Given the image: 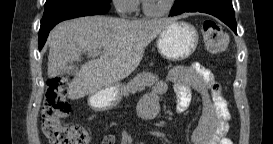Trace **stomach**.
<instances>
[{"mask_svg":"<svg viewBox=\"0 0 273 144\" xmlns=\"http://www.w3.org/2000/svg\"><path fill=\"white\" fill-rule=\"evenodd\" d=\"M196 28L183 21H174L158 35L157 49L166 59L180 61L189 57L198 44ZM122 84H115L88 96V105L95 111H106L116 107L122 99Z\"/></svg>","mask_w":273,"mask_h":144,"instance_id":"0dacf381","label":"stomach"}]
</instances>
